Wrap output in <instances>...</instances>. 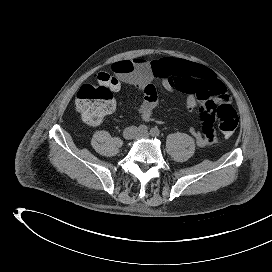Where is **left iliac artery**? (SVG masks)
Masks as SVG:
<instances>
[{
	"label": "left iliac artery",
	"mask_w": 272,
	"mask_h": 272,
	"mask_svg": "<svg viewBox=\"0 0 272 272\" xmlns=\"http://www.w3.org/2000/svg\"><path fill=\"white\" fill-rule=\"evenodd\" d=\"M150 134L153 136V137H157L160 135V130L157 128V127H154L150 130Z\"/></svg>",
	"instance_id": "left-iliac-artery-1"
}]
</instances>
